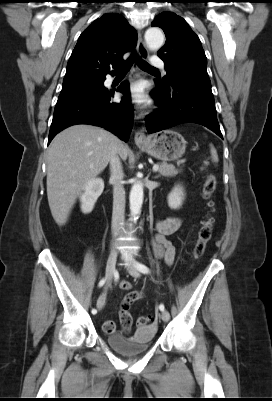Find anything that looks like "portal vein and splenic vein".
I'll return each instance as SVG.
<instances>
[{
    "mask_svg": "<svg viewBox=\"0 0 272 401\" xmlns=\"http://www.w3.org/2000/svg\"><path fill=\"white\" fill-rule=\"evenodd\" d=\"M158 170H159V166H158V165H154V166H153V171H154V172H157Z\"/></svg>",
    "mask_w": 272,
    "mask_h": 401,
    "instance_id": "18ae733b",
    "label": "portal vein and splenic vein"
}]
</instances>
